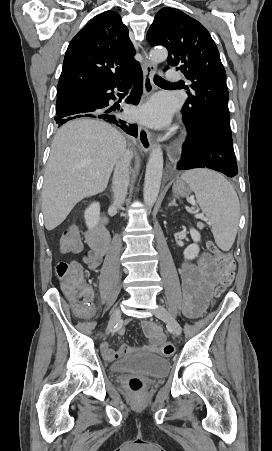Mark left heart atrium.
Listing matches in <instances>:
<instances>
[{
    "mask_svg": "<svg viewBox=\"0 0 272 451\" xmlns=\"http://www.w3.org/2000/svg\"><path fill=\"white\" fill-rule=\"evenodd\" d=\"M154 125H165L171 114L168 103L163 99H153L142 111L134 113Z\"/></svg>",
    "mask_w": 272,
    "mask_h": 451,
    "instance_id": "left-heart-atrium-1",
    "label": "left heart atrium"
}]
</instances>
